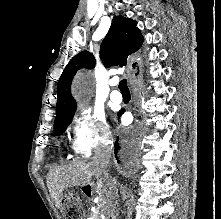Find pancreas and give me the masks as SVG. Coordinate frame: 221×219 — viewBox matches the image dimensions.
I'll list each match as a JSON object with an SVG mask.
<instances>
[{
  "instance_id": "cf45deb5",
  "label": "pancreas",
  "mask_w": 221,
  "mask_h": 219,
  "mask_svg": "<svg viewBox=\"0 0 221 219\" xmlns=\"http://www.w3.org/2000/svg\"><path fill=\"white\" fill-rule=\"evenodd\" d=\"M90 217H91V218H89V219H100V217H99V211H98V210H95L94 212H91Z\"/></svg>"
}]
</instances>
